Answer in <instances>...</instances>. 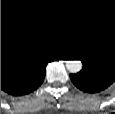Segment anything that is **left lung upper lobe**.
<instances>
[{
    "mask_svg": "<svg viewBox=\"0 0 115 114\" xmlns=\"http://www.w3.org/2000/svg\"><path fill=\"white\" fill-rule=\"evenodd\" d=\"M81 61L83 66H93L115 74V31L101 36L95 47L85 52Z\"/></svg>",
    "mask_w": 115,
    "mask_h": 114,
    "instance_id": "left-lung-upper-lobe-1",
    "label": "left lung upper lobe"
}]
</instances>
